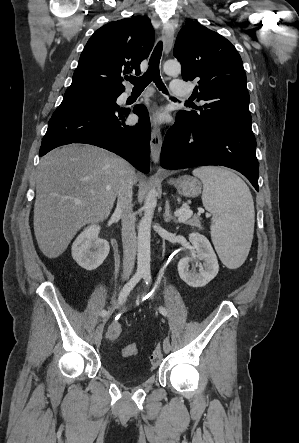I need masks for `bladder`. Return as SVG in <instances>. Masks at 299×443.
<instances>
[{
	"mask_svg": "<svg viewBox=\"0 0 299 443\" xmlns=\"http://www.w3.org/2000/svg\"><path fill=\"white\" fill-rule=\"evenodd\" d=\"M116 376L126 385H137L146 381L150 374L139 370L117 371Z\"/></svg>",
	"mask_w": 299,
	"mask_h": 443,
	"instance_id": "31cf9c89",
	"label": "bladder"
}]
</instances>
